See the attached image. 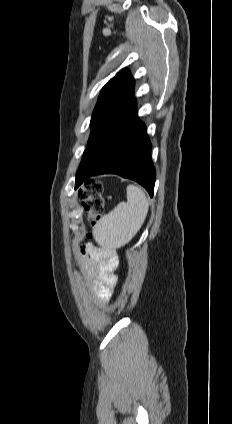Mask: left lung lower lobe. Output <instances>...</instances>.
<instances>
[{
    "instance_id": "left-lung-lower-lobe-1",
    "label": "left lung lower lobe",
    "mask_w": 232,
    "mask_h": 424,
    "mask_svg": "<svg viewBox=\"0 0 232 424\" xmlns=\"http://www.w3.org/2000/svg\"><path fill=\"white\" fill-rule=\"evenodd\" d=\"M146 127L137 118L136 103H130L113 118L91 143L85 163L78 170L75 188L90 176L114 173L135 180L153 196L155 168Z\"/></svg>"
}]
</instances>
